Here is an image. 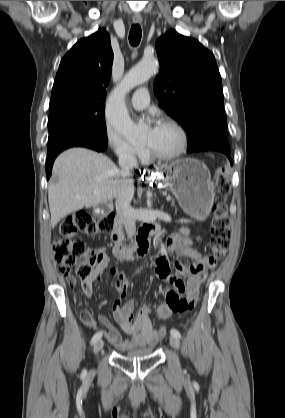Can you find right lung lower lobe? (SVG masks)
Returning a JSON list of instances; mask_svg holds the SVG:
<instances>
[{
	"mask_svg": "<svg viewBox=\"0 0 285 418\" xmlns=\"http://www.w3.org/2000/svg\"><path fill=\"white\" fill-rule=\"evenodd\" d=\"M70 147H86V148L96 150L98 152H102V151L106 150L107 143H102V142H99V141L89 140V139H80V140L69 142V143L61 146L60 148H58L57 150H55L51 154H48V159L46 161L47 179H49V177L52 173V166H53L54 160L57 157V155L60 152H62L63 150H65L67 148H70Z\"/></svg>",
	"mask_w": 285,
	"mask_h": 418,
	"instance_id": "1",
	"label": "right lung lower lobe"
}]
</instances>
